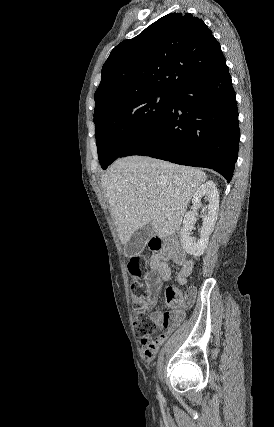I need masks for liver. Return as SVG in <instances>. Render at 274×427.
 I'll return each mask as SVG.
<instances>
[{"label":"liver","instance_id":"obj_1","mask_svg":"<svg viewBox=\"0 0 274 427\" xmlns=\"http://www.w3.org/2000/svg\"><path fill=\"white\" fill-rule=\"evenodd\" d=\"M205 180L202 170L163 160L145 156L116 160L101 176V184L121 243L125 245L146 223L159 237L175 233L195 190Z\"/></svg>","mask_w":274,"mask_h":427}]
</instances>
